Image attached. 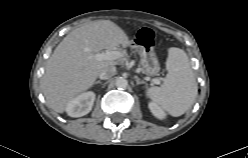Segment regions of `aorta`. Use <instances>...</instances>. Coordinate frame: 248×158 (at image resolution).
I'll return each instance as SVG.
<instances>
[{"label": "aorta", "mask_w": 248, "mask_h": 158, "mask_svg": "<svg viewBox=\"0 0 248 158\" xmlns=\"http://www.w3.org/2000/svg\"><path fill=\"white\" fill-rule=\"evenodd\" d=\"M116 86H117L119 89H125V88L128 86V81H127L125 78H119V79L116 81Z\"/></svg>", "instance_id": "1"}]
</instances>
